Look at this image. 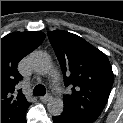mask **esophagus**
Returning <instances> with one entry per match:
<instances>
[{"label": "esophagus", "mask_w": 123, "mask_h": 123, "mask_svg": "<svg viewBox=\"0 0 123 123\" xmlns=\"http://www.w3.org/2000/svg\"><path fill=\"white\" fill-rule=\"evenodd\" d=\"M51 99H52V96H51L50 94H47V95H45V96L40 97V100H41L42 102H48V101H50Z\"/></svg>", "instance_id": "34e87169"}]
</instances>
